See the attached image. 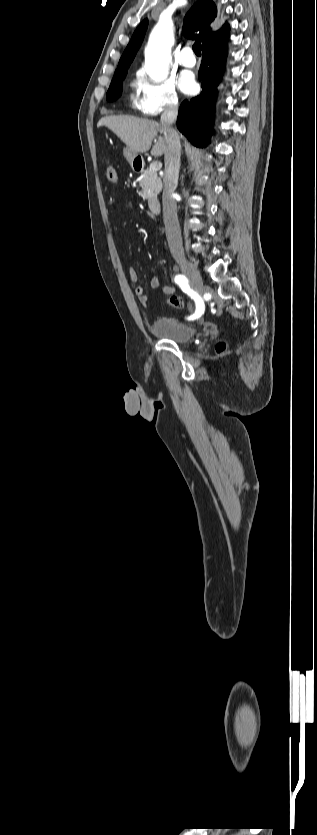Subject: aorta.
I'll return each mask as SVG.
<instances>
[{"mask_svg": "<svg viewBox=\"0 0 317 835\" xmlns=\"http://www.w3.org/2000/svg\"><path fill=\"white\" fill-rule=\"evenodd\" d=\"M173 44L174 32L171 23L160 20L152 30L145 49V70L152 81L159 83L168 77Z\"/></svg>", "mask_w": 317, "mask_h": 835, "instance_id": "aorta-1", "label": "aorta"}]
</instances>
